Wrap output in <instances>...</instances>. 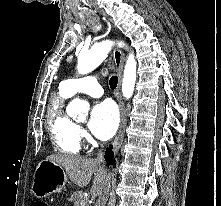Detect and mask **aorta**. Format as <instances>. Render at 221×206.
<instances>
[{
  "mask_svg": "<svg viewBox=\"0 0 221 206\" xmlns=\"http://www.w3.org/2000/svg\"><path fill=\"white\" fill-rule=\"evenodd\" d=\"M114 42L111 40H104L86 51H81L78 57L77 70L79 74H87L97 68L103 60L107 57ZM120 47L124 43L119 42ZM136 61L133 54H130L124 69L122 80V93L126 98H130L134 92L136 82ZM89 110V104L79 98L71 101L67 112L70 115H76L78 119H84Z\"/></svg>",
  "mask_w": 221,
  "mask_h": 206,
  "instance_id": "aorta-1",
  "label": "aorta"
}]
</instances>
